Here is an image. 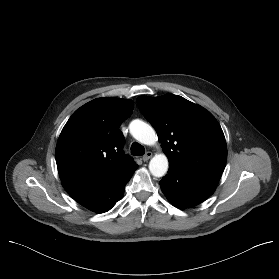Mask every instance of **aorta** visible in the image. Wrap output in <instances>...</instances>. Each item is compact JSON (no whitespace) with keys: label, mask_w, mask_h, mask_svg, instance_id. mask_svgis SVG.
Returning a JSON list of instances; mask_svg holds the SVG:
<instances>
[{"label":"aorta","mask_w":279,"mask_h":279,"mask_svg":"<svg viewBox=\"0 0 279 279\" xmlns=\"http://www.w3.org/2000/svg\"><path fill=\"white\" fill-rule=\"evenodd\" d=\"M131 135L140 143L153 145L157 141L155 130L142 120H133L129 125ZM169 163L165 154H156L149 162V170L154 177H163Z\"/></svg>","instance_id":"1"}]
</instances>
